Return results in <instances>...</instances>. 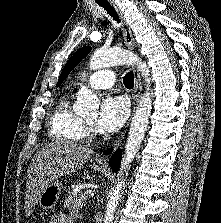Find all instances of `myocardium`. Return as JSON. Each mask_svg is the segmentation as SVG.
Returning a JSON list of instances; mask_svg holds the SVG:
<instances>
[{
  "label": "myocardium",
  "instance_id": "obj_1",
  "mask_svg": "<svg viewBox=\"0 0 221 223\" xmlns=\"http://www.w3.org/2000/svg\"><path fill=\"white\" fill-rule=\"evenodd\" d=\"M85 133L84 137L88 140H96L97 139V132L95 131V128L93 124H90L86 120L83 121Z\"/></svg>",
  "mask_w": 221,
  "mask_h": 223
}]
</instances>
